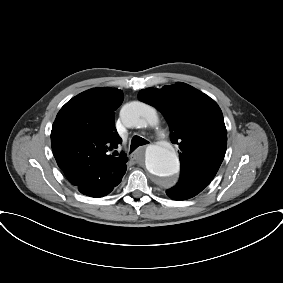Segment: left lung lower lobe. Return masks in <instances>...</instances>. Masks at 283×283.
Segmentation results:
<instances>
[{
	"mask_svg": "<svg viewBox=\"0 0 283 283\" xmlns=\"http://www.w3.org/2000/svg\"><path fill=\"white\" fill-rule=\"evenodd\" d=\"M208 184L195 181L186 175H181L179 182L166 191L175 200L189 199L200 193Z\"/></svg>",
	"mask_w": 283,
	"mask_h": 283,
	"instance_id": "left-lung-lower-lobe-1",
	"label": "left lung lower lobe"
}]
</instances>
